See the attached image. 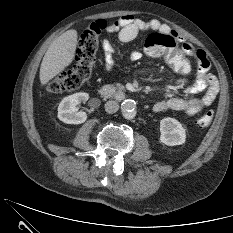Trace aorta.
Masks as SVG:
<instances>
[{
	"mask_svg": "<svg viewBox=\"0 0 233 233\" xmlns=\"http://www.w3.org/2000/svg\"><path fill=\"white\" fill-rule=\"evenodd\" d=\"M121 111L125 119H133L136 116V102L132 99H125L121 104Z\"/></svg>",
	"mask_w": 233,
	"mask_h": 233,
	"instance_id": "obj_1",
	"label": "aorta"
}]
</instances>
